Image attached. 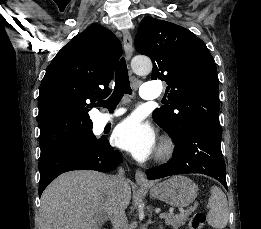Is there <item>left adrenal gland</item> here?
<instances>
[{"instance_id": "obj_1", "label": "left adrenal gland", "mask_w": 261, "mask_h": 229, "mask_svg": "<svg viewBox=\"0 0 261 229\" xmlns=\"http://www.w3.org/2000/svg\"><path fill=\"white\" fill-rule=\"evenodd\" d=\"M159 229H163L162 225H159Z\"/></svg>"}]
</instances>
